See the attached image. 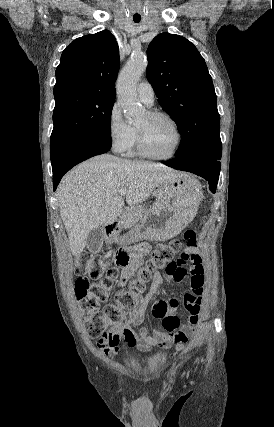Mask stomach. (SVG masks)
I'll use <instances>...</instances> for the list:
<instances>
[{
  "label": "stomach",
  "instance_id": "stomach-1",
  "mask_svg": "<svg viewBox=\"0 0 274 427\" xmlns=\"http://www.w3.org/2000/svg\"><path fill=\"white\" fill-rule=\"evenodd\" d=\"M194 180L182 174L179 178H173L158 186L157 200L144 214L140 223L132 227L131 231L120 235L119 229L106 235L108 243H132L137 239H171L180 233L187 223H190L192 215H195L201 200L198 196L200 188H193Z\"/></svg>",
  "mask_w": 274,
  "mask_h": 427
}]
</instances>
